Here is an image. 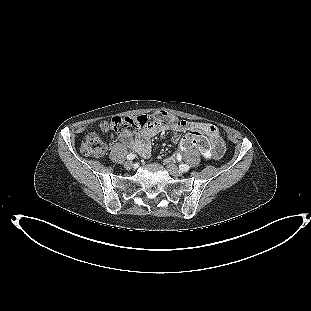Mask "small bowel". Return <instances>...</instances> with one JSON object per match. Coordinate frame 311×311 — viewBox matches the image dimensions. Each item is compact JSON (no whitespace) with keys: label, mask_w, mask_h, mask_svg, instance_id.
Returning <instances> with one entry per match:
<instances>
[{"label":"small bowel","mask_w":311,"mask_h":311,"mask_svg":"<svg viewBox=\"0 0 311 311\" xmlns=\"http://www.w3.org/2000/svg\"><path fill=\"white\" fill-rule=\"evenodd\" d=\"M186 129H197L206 133L211 140L212 148L209 151V156L214 159H219L224 152V142L220 136L216 126L204 122H188L186 127H178L173 125H154L138 132L134 137L122 135L121 140L126 141L131 149L136 151L142 157H148L151 154L150 139L158 134H163L168 130L174 131L172 141L175 144L183 145L179 132ZM184 146V145H183ZM187 148L186 146H184ZM208 157V156H207Z\"/></svg>","instance_id":"c3829d8e"}]
</instances>
